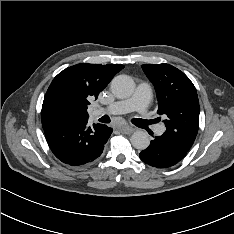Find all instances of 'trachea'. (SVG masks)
<instances>
[{"label": "trachea", "instance_id": "trachea-1", "mask_svg": "<svg viewBox=\"0 0 234 234\" xmlns=\"http://www.w3.org/2000/svg\"><path fill=\"white\" fill-rule=\"evenodd\" d=\"M101 119H102V122H109L110 121L109 117L106 115L103 116ZM146 122H147V124H152V123H155L156 120H151V121H146Z\"/></svg>", "mask_w": 234, "mask_h": 234}]
</instances>
